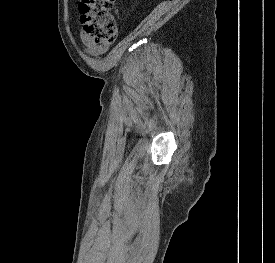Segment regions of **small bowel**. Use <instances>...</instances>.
Segmentation results:
<instances>
[{
  "mask_svg": "<svg viewBox=\"0 0 275 263\" xmlns=\"http://www.w3.org/2000/svg\"><path fill=\"white\" fill-rule=\"evenodd\" d=\"M81 40L87 53L98 56L108 50L110 44H96L87 35L82 34Z\"/></svg>",
  "mask_w": 275,
  "mask_h": 263,
  "instance_id": "1",
  "label": "small bowel"
}]
</instances>
